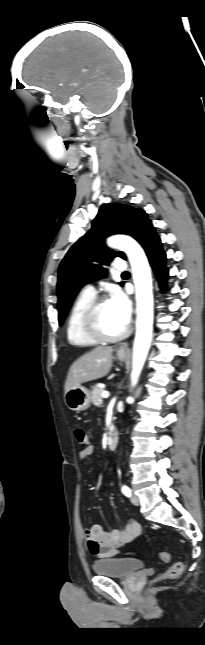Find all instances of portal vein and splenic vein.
Returning <instances> with one entry per match:
<instances>
[{
	"label": "portal vein and splenic vein",
	"mask_w": 205,
	"mask_h": 645,
	"mask_svg": "<svg viewBox=\"0 0 205 645\" xmlns=\"http://www.w3.org/2000/svg\"><path fill=\"white\" fill-rule=\"evenodd\" d=\"M102 397L103 398H108L109 397V392L108 391H103Z\"/></svg>",
	"instance_id": "portal-vein-and-splenic-vein-1"
}]
</instances>
